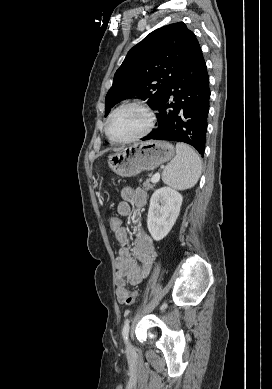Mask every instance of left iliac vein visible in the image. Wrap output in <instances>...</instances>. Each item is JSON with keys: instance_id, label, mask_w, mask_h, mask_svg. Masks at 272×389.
Masks as SVG:
<instances>
[{"instance_id": "left-iliac-vein-1", "label": "left iliac vein", "mask_w": 272, "mask_h": 389, "mask_svg": "<svg viewBox=\"0 0 272 389\" xmlns=\"http://www.w3.org/2000/svg\"><path fill=\"white\" fill-rule=\"evenodd\" d=\"M132 349H133V348H132V345H131V343L128 341V342H127V345H126V351H127V352H131Z\"/></svg>"}]
</instances>
